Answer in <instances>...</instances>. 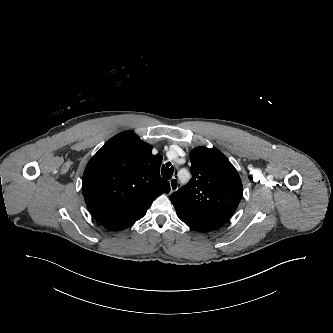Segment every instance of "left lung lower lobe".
I'll list each match as a JSON object with an SVG mask.
<instances>
[{
	"label": "left lung lower lobe",
	"instance_id": "left-lung-lower-lobe-1",
	"mask_svg": "<svg viewBox=\"0 0 333 333\" xmlns=\"http://www.w3.org/2000/svg\"><path fill=\"white\" fill-rule=\"evenodd\" d=\"M178 217L196 231L207 232L221 227L235 212L234 204L190 206L180 202L173 204Z\"/></svg>",
	"mask_w": 333,
	"mask_h": 333
}]
</instances>
